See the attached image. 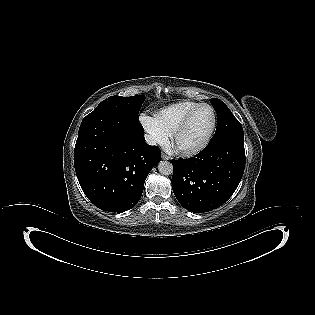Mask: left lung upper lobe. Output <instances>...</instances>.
Here are the masks:
<instances>
[{"mask_svg":"<svg viewBox=\"0 0 315 315\" xmlns=\"http://www.w3.org/2000/svg\"><path fill=\"white\" fill-rule=\"evenodd\" d=\"M217 113V127L210 144L225 138L244 139L243 128L230 109L219 99H210Z\"/></svg>","mask_w":315,"mask_h":315,"instance_id":"left-lung-upper-lobe-1","label":"left lung upper lobe"}]
</instances>
